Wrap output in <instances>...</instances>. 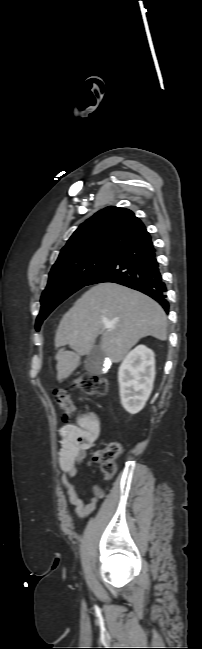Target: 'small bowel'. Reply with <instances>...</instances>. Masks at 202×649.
Listing matches in <instances>:
<instances>
[{"label":"small bowel","mask_w":202,"mask_h":649,"mask_svg":"<svg viewBox=\"0 0 202 649\" xmlns=\"http://www.w3.org/2000/svg\"><path fill=\"white\" fill-rule=\"evenodd\" d=\"M101 430V421L93 412L79 415L75 424L67 423L60 429L62 437L58 458L62 471L60 480L66 489L69 503L74 506L75 514L81 519L88 518L105 495L100 486L93 485L90 502L85 504L72 483L78 474V465L99 438Z\"/></svg>","instance_id":"obj_1"}]
</instances>
